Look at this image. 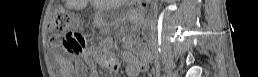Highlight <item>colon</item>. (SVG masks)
Wrapping results in <instances>:
<instances>
[{"label":"colon","instance_id":"5ec220e1","mask_svg":"<svg viewBox=\"0 0 258 77\" xmlns=\"http://www.w3.org/2000/svg\"><path fill=\"white\" fill-rule=\"evenodd\" d=\"M79 21L63 9H56L49 21L48 28L52 35L59 40L61 48L67 52L78 53L86 47V39L78 30ZM148 47L144 34L134 44V53L145 52Z\"/></svg>","mask_w":258,"mask_h":77}]
</instances>
